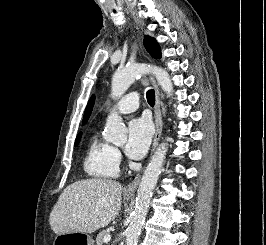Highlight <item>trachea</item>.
I'll return each mask as SVG.
<instances>
[{
  "instance_id": "trachea-1",
  "label": "trachea",
  "mask_w": 266,
  "mask_h": 245,
  "mask_svg": "<svg viewBox=\"0 0 266 245\" xmlns=\"http://www.w3.org/2000/svg\"><path fill=\"white\" fill-rule=\"evenodd\" d=\"M146 98H147L149 104L154 105V103H155V92H154V90H148V92L146 94Z\"/></svg>"
}]
</instances>
